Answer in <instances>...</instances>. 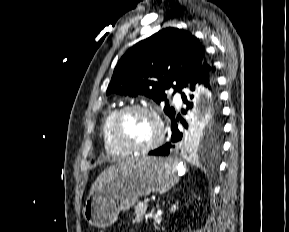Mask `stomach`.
Wrapping results in <instances>:
<instances>
[{
    "mask_svg": "<svg viewBox=\"0 0 289 232\" xmlns=\"http://www.w3.org/2000/svg\"><path fill=\"white\" fill-rule=\"evenodd\" d=\"M178 181L171 158L144 157L118 172L90 195L83 207L86 221L94 227L111 226L121 211L129 210L139 197L164 191Z\"/></svg>",
    "mask_w": 289,
    "mask_h": 232,
    "instance_id": "obj_1",
    "label": "stomach"
}]
</instances>
